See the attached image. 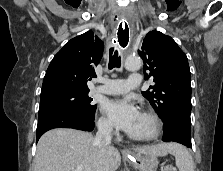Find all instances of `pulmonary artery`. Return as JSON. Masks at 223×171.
I'll return each mask as SVG.
<instances>
[{
	"label": "pulmonary artery",
	"mask_w": 223,
	"mask_h": 171,
	"mask_svg": "<svg viewBox=\"0 0 223 171\" xmlns=\"http://www.w3.org/2000/svg\"><path fill=\"white\" fill-rule=\"evenodd\" d=\"M142 78L139 73H133L128 79H101L102 85L96 86L95 91L107 95H120L137 88Z\"/></svg>",
	"instance_id": "pulmonary-artery-1"
}]
</instances>
